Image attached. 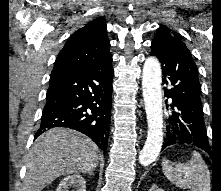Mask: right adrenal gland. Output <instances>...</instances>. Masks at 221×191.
<instances>
[{"instance_id": "2a0ac1e0", "label": "right adrenal gland", "mask_w": 221, "mask_h": 191, "mask_svg": "<svg viewBox=\"0 0 221 191\" xmlns=\"http://www.w3.org/2000/svg\"><path fill=\"white\" fill-rule=\"evenodd\" d=\"M88 174H89V175H91V176H93V175H94L92 171L88 172Z\"/></svg>"}]
</instances>
